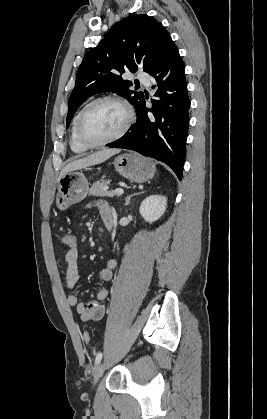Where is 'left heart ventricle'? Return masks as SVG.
Masks as SVG:
<instances>
[{"label": "left heart ventricle", "instance_id": "left-heart-ventricle-1", "mask_svg": "<svg viewBox=\"0 0 267 419\" xmlns=\"http://www.w3.org/2000/svg\"><path fill=\"white\" fill-rule=\"evenodd\" d=\"M126 119L124 108L111 101L92 105L84 114L81 132L90 142H99L116 134Z\"/></svg>", "mask_w": 267, "mask_h": 419}]
</instances>
